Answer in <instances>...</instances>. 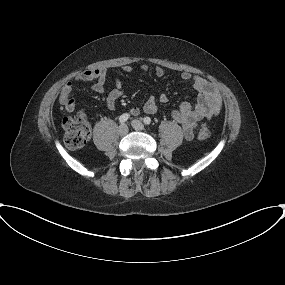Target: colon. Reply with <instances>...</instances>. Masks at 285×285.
<instances>
[{
    "mask_svg": "<svg viewBox=\"0 0 285 285\" xmlns=\"http://www.w3.org/2000/svg\"><path fill=\"white\" fill-rule=\"evenodd\" d=\"M64 129V141L67 147L78 149L87 143L91 134V126L84 114L80 113L77 116L66 117L62 122ZM211 131L206 123H202L198 137L200 139H208Z\"/></svg>",
    "mask_w": 285,
    "mask_h": 285,
    "instance_id": "1",
    "label": "colon"
}]
</instances>
